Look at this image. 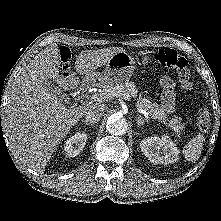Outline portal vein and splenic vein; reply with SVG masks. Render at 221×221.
<instances>
[{
  "label": "portal vein and splenic vein",
  "mask_w": 221,
  "mask_h": 221,
  "mask_svg": "<svg viewBox=\"0 0 221 221\" xmlns=\"http://www.w3.org/2000/svg\"><path fill=\"white\" fill-rule=\"evenodd\" d=\"M118 96H119V97H122L124 100H127V101L130 100L129 95H127V94H125V93H119ZM92 99L97 100V101H102V100H106L107 97L104 96V94L100 93V94H97V95H93V96H92ZM138 112H139V113H142L146 118H148V113H147L145 110L138 109Z\"/></svg>",
  "instance_id": "obj_1"
}]
</instances>
